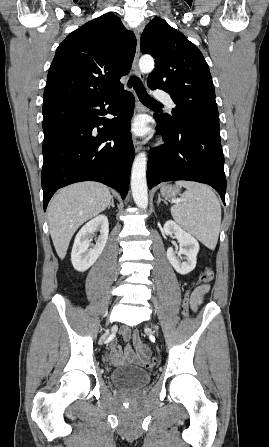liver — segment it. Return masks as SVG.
Segmentation results:
<instances>
[{
	"label": "liver",
	"instance_id": "liver-1",
	"mask_svg": "<svg viewBox=\"0 0 269 447\" xmlns=\"http://www.w3.org/2000/svg\"><path fill=\"white\" fill-rule=\"evenodd\" d=\"M109 204V188L97 182H80L58 190L48 208V220L52 241L61 259L79 225L104 212Z\"/></svg>",
	"mask_w": 269,
	"mask_h": 447
}]
</instances>
